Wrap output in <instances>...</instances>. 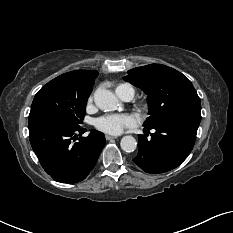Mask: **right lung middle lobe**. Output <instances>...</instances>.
<instances>
[{"mask_svg": "<svg viewBox=\"0 0 233 233\" xmlns=\"http://www.w3.org/2000/svg\"><path fill=\"white\" fill-rule=\"evenodd\" d=\"M93 85L77 86L56 77L35 95L28 124L39 120H54L79 126L85 116L87 99Z\"/></svg>", "mask_w": 233, "mask_h": 233, "instance_id": "obj_1", "label": "right lung middle lobe"}]
</instances>
